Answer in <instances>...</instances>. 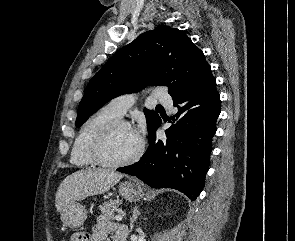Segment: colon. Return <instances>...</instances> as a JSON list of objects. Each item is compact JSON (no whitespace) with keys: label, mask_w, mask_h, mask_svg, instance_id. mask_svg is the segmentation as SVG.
<instances>
[{"label":"colon","mask_w":295,"mask_h":241,"mask_svg":"<svg viewBox=\"0 0 295 241\" xmlns=\"http://www.w3.org/2000/svg\"><path fill=\"white\" fill-rule=\"evenodd\" d=\"M71 241H87V237L85 236L84 232L76 233L72 238Z\"/></svg>","instance_id":"5ec220e1"}]
</instances>
